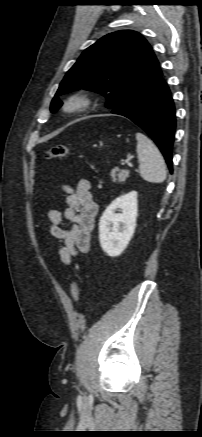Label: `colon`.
Returning a JSON list of instances; mask_svg holds the SVG:
<instances>
[{
    "label": "colon",
    "instance_id": "1",
    "mask_svg": "<svg viewBox=\"0 0 202 437\" xmlns=\"http://www.w3.org/2000/svg\"><path fill=\"white\" fill-rule=\"evenodd\" d=\"M70 154V148L66 145H55L50 147L45 156L47 159H59L64 158ZM70 296L74 302H77L80 298V286L79 283L74 280L70 286Z\"/></svg>",
    "mask_w": 202,
    "mask_h": 437
}]
</instances>
